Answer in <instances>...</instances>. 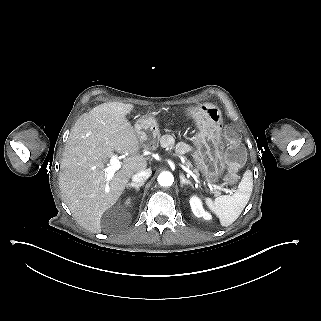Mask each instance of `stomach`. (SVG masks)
Returning a JSON list of instances; mask_svg holds the SVG:
<instances>
[{
  "label": "stomach",
  "instance_id": "stomach-1",
  "mask_svg": "<svg viewBox=\"0 0 321 321\" xmlns=\"http://www.w3.org/2000/svg\"><path fill=\"white\" fill-rule=\"evenodd\" d=\"M198 132L193 138L196 147L193 157L204 176L215 180L225 169L221 159L220 133L223 129L222 113L215 107L200 105L192 114ZM140 147L146 150H155L160 139L158 122L153 113L144 115L135 124Z\"/></svg>",
  "mask_w": 321,
  "mask_h": 321
}]
</instances>
